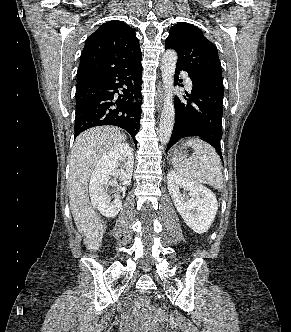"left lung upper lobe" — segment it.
Wrapping results in <instances>:
<instances>
[{
  "label": "left lung upper lobe",
  "mask_w": 291,
  "mask_h": 332,
  "mask_svg": "<svg viewBox=\"0 0 291 332\" xmlns=\"http://www.w3.org/2000/svg\"><path fill=\"white\" fill-rule=\"evenodd\" d=\"M165 46L177 52V65L188 73L222 76L217 48L198 27L185 22L175 24L170 29Z\"/></svg>",
  "instance_id": "left-lung-upper-lobe-1"
}]
</instances>
